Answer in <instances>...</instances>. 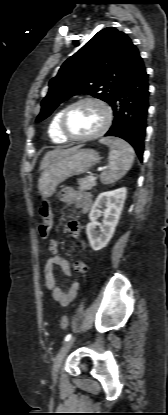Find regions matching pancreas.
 <instances>
[{
    "mask_svg": "<svg viewBox=\"0 0 168 415\" xmlns=\"http://www.w3.org/2000/svg\"><path fill=\"white\" fill-rule=\"evenodd\" d=\"M78 185L80 190H91L94 186H96V178H81L78 180Z\"/></svg>",
    "mask_w": 168,
    "mask_h": 415,
    "instance_id": "1",
    "label": "pancreas"
}]
</instances>
